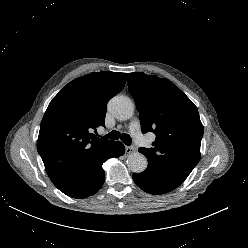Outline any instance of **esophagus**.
I'll return each mask as SVG.
<instances>
[{"label":"esophagus","mask_w":248,"mask_h":248,"mask_svg":"<svg viewBox=\"0 0 248 248\" xmlns=\"http://www.w3.org/2000/svg\"><path fill=\"white\" fill-rule=\"evenodd\" d=\"M125 151H126L127 154H132V153H134L136 151V148L133 147V146H127L125 148Z\"/></svg>","instance_id":"esophagus-1"}]
</instances>
